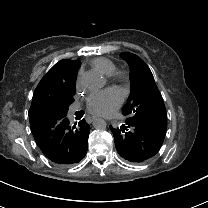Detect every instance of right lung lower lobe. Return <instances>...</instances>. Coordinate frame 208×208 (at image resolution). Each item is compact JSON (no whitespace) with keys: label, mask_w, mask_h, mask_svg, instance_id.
Instances as JSON below:
<instances>
[{"label":"right lung lower lobe","mask_w":208,"mask_h":208,"mask_svg":"<svg viewBox=\"0 0 208 208\" xmlns=\"http://www.w3.org/2000/svg\"><path fill=\"white\" fill-rule=\"evenodd\" d=\"M29 120L37 145L52 162L68 165L85 157L90 127L84 119L71 127L66 115H45L41 110H33Z\"/></svg>","instance_id":"98d812e1"}]
</instances>
